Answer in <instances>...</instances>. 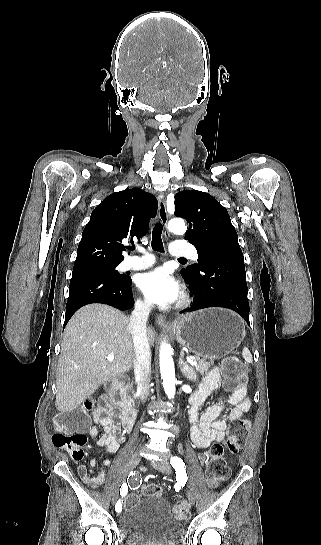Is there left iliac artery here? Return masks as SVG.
<instances>
[{"mask_svg":"<svg viewBox=\"0 0 321 545\" xmlns=\"http://www.w3.org/2000/svg\"><path fill=\"white\" fill-rule=\"evenodd\" d=\"M170 464L176 471V477L177 480L180 482H186L187 481V474L185 470V463L183 460L177 456L172 457L170 460Z\"/></svg>","mask_w":321,"mask_h":545,"instance_id":"obj_1","label":"left iliac artery"}]
</instances>
